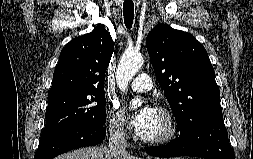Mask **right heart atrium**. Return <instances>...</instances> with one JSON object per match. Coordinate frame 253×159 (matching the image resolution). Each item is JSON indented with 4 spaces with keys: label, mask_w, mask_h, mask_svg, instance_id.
<instances>
[{
    "label": "right heart atrium",
    "mask_w": 253,
    "mask_h": 159,
    "mask_svg": "<svg viewBox=\"0 0 253 159\" xmlns=\"http://www.w3.org/2000/svg\"><path fill=\"white\" fill-rule=\"evenodd\" d=\"M108 130L118 138L126 137L130 132V125L119 107H110L106 116Z\"/></svg>",
    "instance_id": "right-heart-atrium-1"
}]
</instances>
